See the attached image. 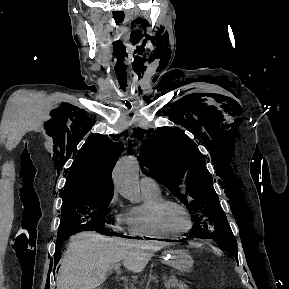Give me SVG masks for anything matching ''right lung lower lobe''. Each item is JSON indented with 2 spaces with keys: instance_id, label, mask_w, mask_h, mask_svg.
<instances>
[{
  "instance_id": "right-lung-lower-lobe-1",
  "label": "right lung lower lobe",
  "mask_w": 289,
  "mask_h": 289,
  "mask_svg": "<svg viewBox=\"0 0 289 289\" xmlns=\"http://www.w3.org/2000/svg\"><path fill=\"white\" fill-rule=\"evenodd\" d=\"M64 240H66V239L62 238V239H57V241H56L55 263H58V261H59L60 254H61L60 248H61V245H62Z\"/></svg>"
}]
</instances>
